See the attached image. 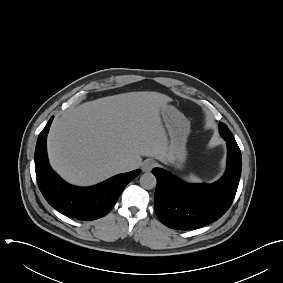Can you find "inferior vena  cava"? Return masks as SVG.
Segmentation results:
<instances>
[{
	"mask_svg": "<svg viewBox=\"0 0 283 283\" xmlns=\"http://www.w3.org/2000/svg\"><path fill=\"white\" fill-rule=\"evenodd\" d=\"M118 166H119L121 172H127V171L135 169L134 164H132L131 162H129L127 160L120 161L118 163Z\"/></svg>",
	"mask_w": 283,
	"mask_h": 283,
	"instance_id": "obj_1",
	"label": "inferior vena cava"
}]
</instances>
